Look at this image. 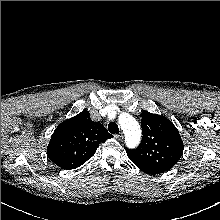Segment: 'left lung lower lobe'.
I'll list each match as a JSON object with an SVG mask.
<instances>
[{
    "mask_svg": "<svg viewBox=\"0 0 220 220\" xmlns=\"http://www.w3.org/2000/svg\"><path fill=\"white\" fill-rule=\"evenodd\" d=\"M139 169H141L142 171L146 172L147 174H152L150 171L146 170L145 168H143L142 166H137Z\"/></svg>",
    "mask_w": 220,
    "mask_h": 220,
    "instance_id": "obj_1",
    "label": "left lung lower lobe"
}]
</instances>
